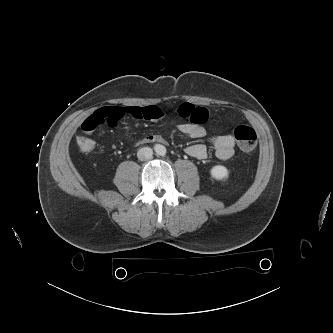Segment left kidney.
<instances>
[{
  "instance_id": "5707ae66",
  "label": "left kidney",
  "mask_w": 333,
  "mask_h": 333,
  "mask_svg": "<svg viewBox=\"0 0 333 333\" xmlns=\"http://www.w3.org/2000/svg\"><path fill=\"white\" fill-rule=\"evenodd\" d=\"M210 174L214 179L223 180L228 178L229 172L226 167L222 165H216L212 167Z\"/></svg>"
}]
</instances>
